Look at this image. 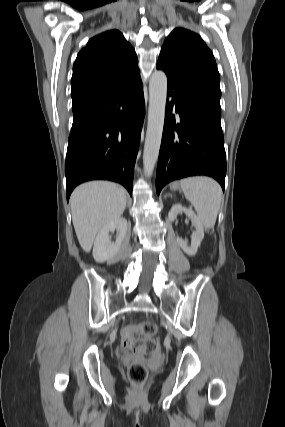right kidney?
I'll use <instances>...</instances> for the list:
<instances>
[{
	"mask_svg": "<svg viewBox=\"0 0 285 427\" xmlns=\"http://www.w3.org/2000/svg\"><path fill=\"white\" fill-rule=\"evenodd\" d=\"M127 220L118 218L104 226L97 234L94 241L93 257L96 262L103 263L115 258L121 248V244L127 233ZM117 231V238L114 243L109 240V232Z\"/></svg>",
	"mask_w": 285,
	"mask_h": 427,
	"instance_id": "ca27d5eb",
	"label": "right kidney"
}]
</instances>
